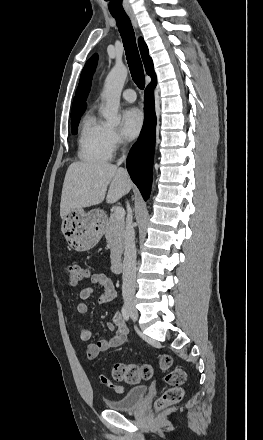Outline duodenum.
Here are the masks:
<instances>
[{
    "label": "duodenum",
    "mask_w": 263,
    "mask_h": 440,
    "mask_svg": "<svg viewBox=\"0 0 263 440\" xmlns=\"http://www.w3.org/2000/svg\"><path fill=\"white\" fill-rule=\"evenodd\" d=\"M123 263L121 260H115L113 263V272L114 273H120L122 271Z\"/></svg>",
    "instance_id": "duodenum-1"
}]
</instances>
